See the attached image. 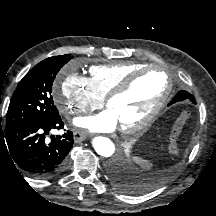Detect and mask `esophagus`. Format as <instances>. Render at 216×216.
Listing matches in <instances>:
<instances>
[{
    "label": "esophagus",
    "mask_w": 216,
    "mask_h": 216,
    "mask_svg": "<svg viewBox=\"0 0 216 216\" xmlns=\"http://www.w3.org/2000/svg\"><path fill=\"white\" fill-rule=\"evenodd\" d=\"M87 137V133L84 131H75L74 132V139L76 141H83Z\"/></svg>",
    "instance_id": "obj_1"
}]
</instances>
